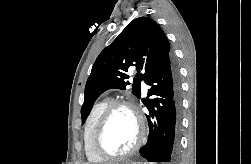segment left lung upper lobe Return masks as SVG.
Returning <instances> with one entry per match:
<instances>
[{"mask_svg":"<svg viewBox=\"0 0 251 164\" xmlns=\"http://www.w3.org/2000/svg\"><path fill=\"white\" fill-rule=\"evenodd\" d=\"M170 55L168 39L154 20L139 17L131 21L93 64L85 86L82 119L89 115L101 93L111 88L126 89L129 67L135 66L137 70L134 83L139 77L145 81ZM132 87V93L140 98V81Z\"/></svg>","mask_w":251,"mask_h":164,"instance_id":"obj_1","label":"left lung upper lobe"}]
</instances>
